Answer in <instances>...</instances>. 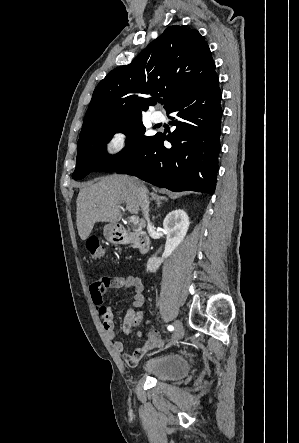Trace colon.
<instances>
[{"instance_id": "5ec220e1", "label": "colon", "mask_w": 299, "mask_h": 443, "mask_svg": "<svg viewBox=\"0 0 299 443\" xmlns=\"http://www.w3.org/2000/svg\"><path fill=\"white\" fill-rule=\"evenodd\" d=\"M86 248L93 259H102L105 256V249L95 235L87 237Z\"/></svg>"}]
</instances>
